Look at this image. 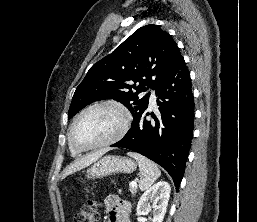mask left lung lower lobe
<instances>
[{"label":"left lung lower lobe","mask_w":257,"mask_h":222,"mask_svg":"<svg viewBox=\"0 0 257 222\" xmlns=\"http://www.w3.org/2000/svg\"><path fill=\"white\" fill-rule=\"evenodd\" d=\"M160 114L146 109L134 120L126 135L112 147L140 153L162 166L172 177L176 190L185 172L194 121V97L184 59L155 88Z\"/></svg>","instance_id":"left-lung-lower-lobe-1"}]
</instances>
